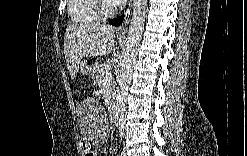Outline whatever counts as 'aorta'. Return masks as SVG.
<instances>
[{"label": "aorta", "mask_w": 247, "mask_h": 156, "mask_svg": "<svg viewBox=\"0 0 247 156\" xmlns=\"http://www.w3.org/2000/svg\"><path fill=\"white\" fill-rule=\"evenodd\" d=\"M147 0L133 1V14L129 26L126 52L121 63L116 95L115 120L119 126L124 125L127 93L131 82V74L136 62L138 48L144 29Z\"/></svg>", "instance_id": "1"}]
</instances>
